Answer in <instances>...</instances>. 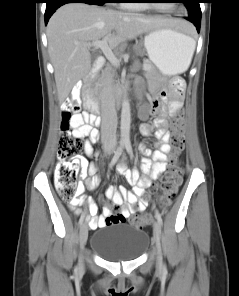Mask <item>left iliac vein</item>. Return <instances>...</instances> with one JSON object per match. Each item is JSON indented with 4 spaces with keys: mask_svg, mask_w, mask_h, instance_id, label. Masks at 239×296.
<instances>
[{
    "mask_svg": "<svg viewBox=\"0 0 239 296\" xmlns=\"http://www.w3.org/2000/svg\"><path fill=\"white\" fill-rule=\"evenodd\" d=\"M160 238H161V226L158 221H155L153 224V241L155 243L156 250H157V267L158 268L162 267Z\"/></svg>",
    "mask_w": 239,
    "mask_h": 296,
    "instance_id": "left-iliac-vein-1",
    "label": "left iliac vein"
}]
</instances>
